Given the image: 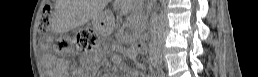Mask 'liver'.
Segmentation results:
<instances>
[{"instance_id":"1","label":"liver","mask_w":258,"mask_h":77,"mask_svg":"<svg viewBox=\"0 0 258 77\" xmlns=\"http://www.w3.org/2000/svg\"><path fill=\"white\" fill-rule=\"evenodd\" d=\"M58 16L66 28H74L97 16L101 8L84 0H58Z\"/></svg>"}]
</instances>
